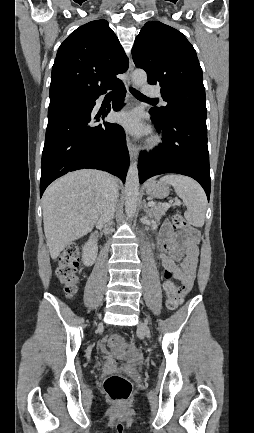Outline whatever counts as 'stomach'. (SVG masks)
I'll list each match as a JSON object with an SVG mask.
<instances>
[{
    "instance_id": "1",
    "label": "stomach",
    "mask_w": 254,
    "mask_h": 433,
    "mask_svg": "<svg viewBox=\"0 0 254 433\" xmlns=\"http://www.w3.org/2000/svg\"><path fill=\"white\" fill-rule=\"evenodd\" d=\"M169 191V187L162 182L150 181L146 185L147 194L154 198H164L169 195Z\"/></svg>"
}]
</instances>
